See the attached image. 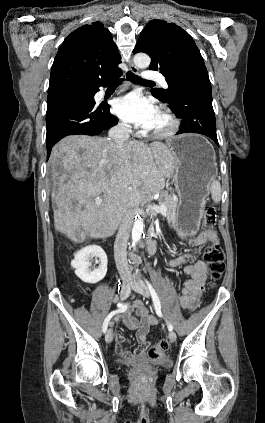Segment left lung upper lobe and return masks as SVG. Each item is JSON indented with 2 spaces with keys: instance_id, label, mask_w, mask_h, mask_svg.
Here are the masks:
<instances>
[{
  "instance_id": "5c2ea615",
  "label": "left lung upper lobe",
  "mask_w": 265,
  "mask_h": 423,
  "mask_svg": "<svg viewBox=\"0 0 265 423\" xmlns=\"http://www.w3.org/2000/svg\"><path fill=\"white\" fill-rule=\"evenodd\" d=\"M133 52L148 54L151 57L149 68L160 71L167 82L191 67L205 65L192 37L181 27L164 20L155 19L147 23ZM151 92L163 102L172 101L169 88L153 89Z\"/></svg>"
}]
</instances>
